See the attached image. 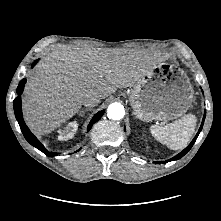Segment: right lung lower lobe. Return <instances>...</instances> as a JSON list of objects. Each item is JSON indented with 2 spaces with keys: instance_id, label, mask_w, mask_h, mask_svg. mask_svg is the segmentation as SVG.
Wrapping results in <instances>:
<instances>
[{
  "instance_id": "98d812e1",
  "label": "right lung lower lobe",
  "mask_w": 221,
  "mask_h": 221,
  "mask_svg": "<svg viewBox=\"0 0 221 221\" xmlns=\"http://www.w3.org/2000/svg\"><path fill=\"white\" fill-rule=\"evenodd\" d=\"M36 63H37V61H35L32 64V66H34ZM25 83H26V79H22L18 85V88H17L18 97L15 98L14 105H13L16 119L19 123V126L21 128V131H22L24 137L32 146L36 147L37 149L42 151L47 156H50V157L55 156V155H57V153L48 152L44 148V146L40 143V141L30 132V130L28 129V127L26 126V124L23 120L20 95L23 92ZM103 113H104V110L99 111L98 113H96L94 115V117L92 118V120L90 121V123L88 125V131L91 129L92 125L101 118Z\"/></svg>"
}]
</instances>
